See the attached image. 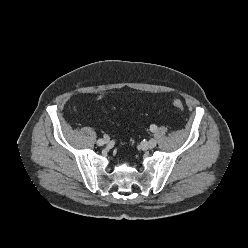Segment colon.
Instances as JSON below:
<instances>
[{"label":"colon","mask_w":248,"mask_h":248,"mask_svg":"<svg viewBox=\"0 0 248 248\" xmlns=\"http://www.w3.org/2000/svg\"><path fill=\"white\" fill-rule=\"evenodd\" d=\"M172 104L175 108L179 109V110H183L184 109V104L180 99H174L172 101Z\"/></svg>","instance_id":"colon-1"}]
</instances>
